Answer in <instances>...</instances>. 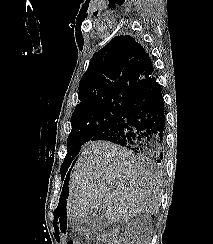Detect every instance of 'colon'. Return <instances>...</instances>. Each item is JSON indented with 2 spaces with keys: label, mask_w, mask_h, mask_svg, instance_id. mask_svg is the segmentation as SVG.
<instances>
[{
  "label": "colon",
  "mask_w": 213,
  "mask_h": 244,
  "mask_svg": "<svg viewBox=\"0 0 213 244\" xmlns=\"http://www.w3.org/2000/svg\"><path fill=\"white\" fill-rule=\"evenodd\" d=\"M66 244H79V243L76 242V241H72V240H70V241H68Z\"/></svg>",
  "instance_id": "obj_1"
}]
</instances>
